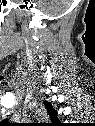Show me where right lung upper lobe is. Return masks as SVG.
Returning a JSON list of instances; mask_svg holds the SVG:
<instances>
[{"instance_id":"obj_1","label":"right lung upper lobe","mask_w":95,"mask_h":126,"mask_svg":"<svg viewBox=\"0 0 95 126\" xmlns=\"http://www.w3.org/2000/svg\"><path fill=\"white\" fill-rule=\"evenodd\" d=\"M44 104H45L46 110H47L51 120L53 122H55L53 124H59V123H56V122H58L57 112L53 109L52 105L49 102H47V101H45Z\"/></svg>"}]
</instances>
